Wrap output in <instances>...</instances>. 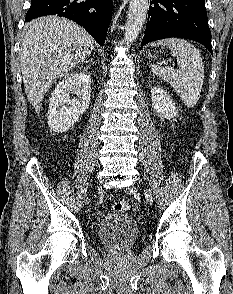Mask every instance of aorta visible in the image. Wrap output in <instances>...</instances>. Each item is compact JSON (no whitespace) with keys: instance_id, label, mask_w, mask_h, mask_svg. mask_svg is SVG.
Listing matches in <instances>:
<instances>
[{"instance_id":"762f6f07","label":"aorta","mask_w":233,"mask_h":294,"mask_svg":"<svg viewBox=\"0 0 233 294\" xmlns=\"http://www.w3.org/2000/svg\"><path fill=\"white\" fill-rule=\"evenodd\" d=\"M148 9V0H130L124 33V40L127 44L137 39L144 26Z\"/></svg>"}]
</instances>
